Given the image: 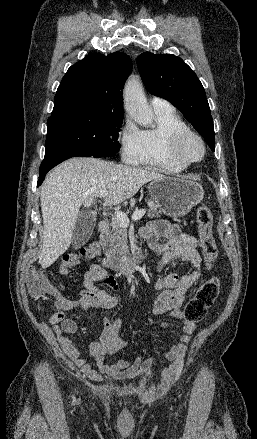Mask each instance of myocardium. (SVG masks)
<instances>
[{
	"instance_id": "f54148a6",
	"label": "myocardium",
	"mask_w": 257,
	"mask_h": 439,
	"mask_svg": "<svg viewBox=\"0 0 257 439\" xmlns=\"http://www.w3.org/2000/svg\"><path fill=\"white\" fill-rule=\"evenodd\" d=\"M189 139L197 140L201 146L202 153L198 159H190V158L186 157L185 154L183 153V146L186 143V141ZM169 152H170V155L172 156V158L176 162H178L186 167V166H190L193 164H197L204 159V157L206 155V144H205V141L200 134H198L197 132L190 130V129H184V130H181V131L174 133L171 136V138L169 140Z\"/></svg>"
}]
</instances>
